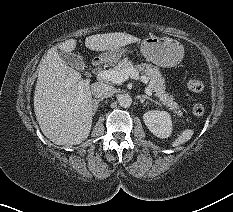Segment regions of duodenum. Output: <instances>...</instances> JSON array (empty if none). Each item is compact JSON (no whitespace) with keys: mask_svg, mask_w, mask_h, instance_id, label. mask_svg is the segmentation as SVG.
Listing matches in <instances>:
<instances>
[{"mask_svg":"<svg viewBox=\"0 0 233 212\" xmlns=\"http://www.w3.org/2000/svg\"><path fill=\"white\" fill-rule=\"evenodd\" d=\"M100 59H95L94 61H93V65L94 66H98V65H100Z\"/></svg>","mask_w":233,"mask_h":212,"instance_id":"1","label":"duodenum"}]
</instances>
